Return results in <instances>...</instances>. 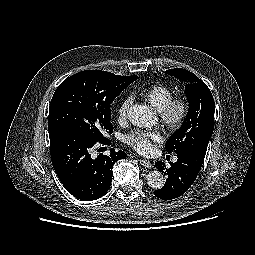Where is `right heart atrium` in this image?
<instances>
[{"instance_id":"obj_1","label":"right heart atrium","mask_w":255,"mask_h":255,"mask_svg":"<svg viewBox=\"0 0 255 255\" xmlns=\"http://www.w3.org/2000/svg\"><path fill=\"white\" fill-rule=\"evenodd\" d=\"M131 103H132L131 97H127L120 102L117 108V117L119 120H124L127 117Z\"/></svg>"}]
</instances>
